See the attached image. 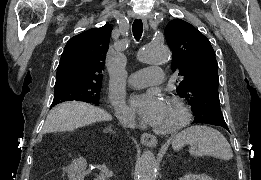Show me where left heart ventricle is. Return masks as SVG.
<instances>
[{
	"label": "left heart ventricle",
	"mask_w": 261,
	"mask_h": 180,
	"mask_svg": "<svg viewBox=\"0 0 261 180\" xmlns=\"http://www.w3.org/2000/svg\"><path fill=\"white\" fill-rule=\"evenodd\" d=\"M179 115V108L168 99H165L161 109L150 123L151 126L157 129L170 128L176 121Z\"/></svg>",
	"instance_id": "obj_1"
}]
</instances>
